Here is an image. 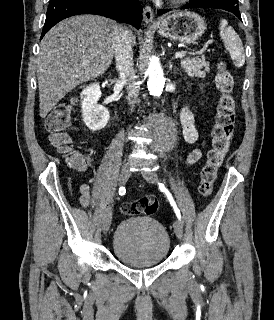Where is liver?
<instances>
[{
  "label": "liver",
  "mask_w": 274,
  "mask_h": 320,
  "mask_svg": "<svg viewBox=\"0 0 274 320\" xmlns=\"http://www.w3.org/2000/svg\"><path fill=\"white\" fill-rule=\"evenodd\" d=\"M114 20L103 16H73L59 22L40 42L36 60L40 118L68 92L99 78L115 54Z\"/></svg>",
  "instance_id": "6515ba94"
}]
</instances>
